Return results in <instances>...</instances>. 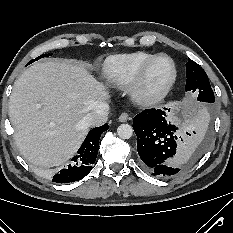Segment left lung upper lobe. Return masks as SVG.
<instances>
[{
    "label": "left lung upper lobe",
    "instance_id": "obj_1",
    "mask_svg": "<svg viewBox=\"0 0 233 233\" xmlns=\"http://www.w3.org/2000/svg\"><path fill=\"white\" fill-rule=\"evenodd\" d=\"M186 91L199 90L198 100L213 103L214 93L207 79L205 71L193 60L186 63Z\"/></svg>",
    "mask_w": 233,
    "mask_h": 233
}]
</instances>
